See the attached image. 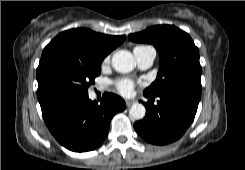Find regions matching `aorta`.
<instances>
[{"label":"aorta","mask_w":245,"mask_h":170,"mask_svg":"<svg viewBox=\"0 0 245 170\" xmlns=\"http://www.w3.org/2000/svg\"><path fill=\"white\" fill-rule=\"evenodd\" d=\"M135 59L131 52L127 50H119L112 57L113 68L120 73L131 72L135 67ZM146 109L141 103H134L129 111L132 118L141 120L144 118Z\"/></svg>","instance_id":"1"}]
</instances>
